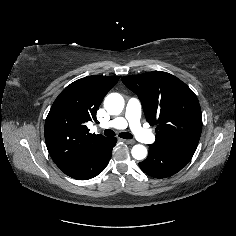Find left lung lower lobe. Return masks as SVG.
<instances>
[{
  "label": "left lung lower lobe",
  "mask_w": 236,
  "mask_h": 236,
  "mask_svg": "<svg viewBox=\"0 0 236 236\" xmlns=\"http://www.w3.org/2000/svg\"><path fill=\"white\" fill-rule=\"evenodd\" d=\"M194 153V149H168L149 145L148 157L139 166L149 176L166 178L180 171Z\"/></svg>",
  "instance_id": "0a47b994"
}]
</instances>
